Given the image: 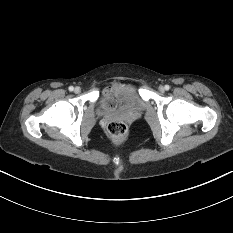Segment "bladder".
I'll return each mask as SVG.
<instances>
[{
    "label": "bladder",
    "mask_w": 233,
    "mask_h": 233,
    "mask_svg": "<svg viewBox=\"0 0 233 233\" xmlns=\"http://www.w3.org/2000/svg\"><path fill=\"white\" fill-rule=\"evenodd\" d=\"M101 108L107 113H138L145 109V101L129 83H115L101 97Z\"/></svg>",
    "instance_id": "1"
}]
</instances>
